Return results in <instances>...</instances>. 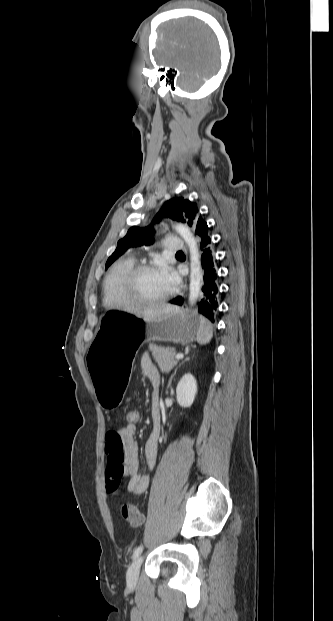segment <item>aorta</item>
I'll return each mask as SVG.
<instances>
[{"mask_svg":"<svg viewBox=\"0 0 333 621\" xmlns=\"http://www.w3.org/2000/svg\"><path fill=\"white\" fill-rule=\"evenodd\" d=\"M175 230L183 238L186 245L189 248L190 253V286H189V304L193 306L199 297L202 287V268H201V255L197 242L190 231L189 227L185 224L178 223Z\"/></svg>","mask_w":333,"mask_h":621,"instance_id":"obj_1","label":"aorta"}]
</instances>
